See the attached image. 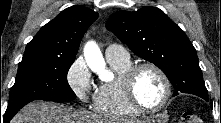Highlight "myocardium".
<instances>
[{"instance_id": "1", "label": "myocardium", "mask_w": 221, "mask_h": 123, "mask_svg": "<svg viewBox=\"0 0 221 123\" xmlns=\"http://www.w3.org/2000/svg\"><path fill=\"white\" fill-rule=\"evenodd\" d=\"M146 68L154 70L160 76L165 88V94L162 101L155 107H146L142 105L135 94L134 84L136 76L141 70ZM121 86L127 102L130 104V106H132L135 110H137L140 113H155L162 110L168 104L172 92L171 83L167 74L158 65L151 62H143L136 65H132L122 75Z\"/></svg>"}]
</instances>
